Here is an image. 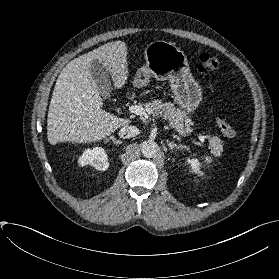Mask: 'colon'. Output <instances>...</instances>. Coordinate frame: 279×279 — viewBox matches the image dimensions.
I'll use <instances>...</instances> for the list:
<instances>
[{"instance_id":"obj_1","label":"colon","mask_w":279,"mask_h":279,"mask_svg":"<svg viewBox=\"0 0 279 279\" xmlns=\"http://www.w3.org/2000/svg\"><path fill=\"white\" fill-rule=\"evenodd\" d=\"M218 68H219L218 60L213 55L209 53H203L200 55L198 71L201 74L214 73L218 70ZM217 125L225 137L227 138L236 137L237 135L236 130L224 117H218Z\"/></svg>"}]
</instances>
